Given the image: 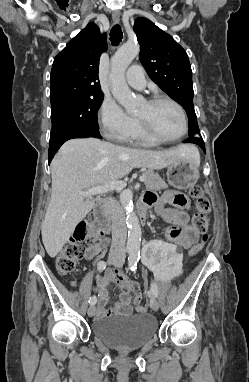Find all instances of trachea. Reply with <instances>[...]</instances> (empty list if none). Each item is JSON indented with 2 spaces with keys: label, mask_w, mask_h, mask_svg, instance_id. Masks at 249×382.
I'll use <instances>...</instances> for the list:
<instances>
[{
  "label": "trachea",
  "mask_w": 249,
  "mask_h": 382,
  "mask_svg": "<svg viewBox=\"0 0 249 382\" xmlns=\"http://www.w3.org/2000/svg\"><path fill=\"white\" fill-rule=\"evenodd\" d=\"M123 38L121 27L116 24L112 27L110 31V41L113 45H118Z\"/></svg>",
  "instance_id": "trachea-1"
}]
</instances>
